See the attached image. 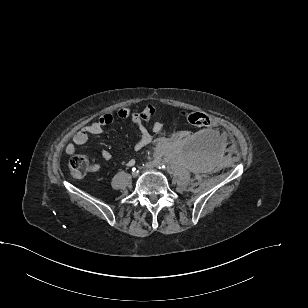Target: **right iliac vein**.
Instances as JSON below:
<instances>
[{"label": "right iliac vein", "mask_w": 308, "mask_h": 308, "mask_svg": "<svg viewBox=\"0 0 308 308\" xmlns=\"http://www.w3.org/2000/svg\"><path fill=\"white\" fill-rule=\"evenodd\" d=\"M132 176L136 177L137 176V172H132Z\"/></svg>", "instance_id": "obj_1"}]
</instances>
